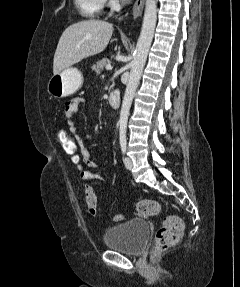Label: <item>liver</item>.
Segmentation results:
<instances>
[{
  "label": "liver",
  "instance_id": "liver-1",
  "mask_svg": "<svg viewBox=\"0 0 240 287\" xmlns=\"http://www.w3.org/2000/svg\"><path fill=\"white\" fill-rule=\"evenodd\" d=\"M113 33V25L102 20H85L70 25L60 37L53 60V73L102 52Z\"/></svg>",
  "mask_w": 240,
  "mask_h": 287
}]
</instances>
